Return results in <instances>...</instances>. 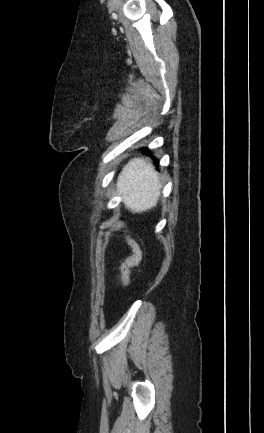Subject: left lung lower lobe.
<instances>
[{"mask_svg":"<svg viewBox=\"0 0 264 433\" xmlns=\"http://www.w3.org/2000/svg\"><path fill=\"white\" fill-rule=\"evenodd\" d=\"M145 150H147V149H145ZM147 151H148V150H147ZM147 154H149V155H151V156H152V154H151V153H149V152H148ZM153 158H154V157H153ZM154 159H155V161H156V162H158V160H157L156 158H154Z\"/></svg>","mask_w":264,"mask_h":433,"instance_id":"obj_1","label":"left lung lower lobe"}]
</instances>
